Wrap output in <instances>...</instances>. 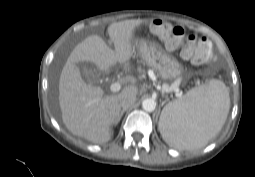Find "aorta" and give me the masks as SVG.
Segmentation results:
<instances>
[{"mask_svg": "<svg viewBox=\"0 0 255 177\" xmlns=\"http://www.w3.org/2000/svg\"><path fill=\"white\" fill-rule=\"evenodd\" d=\"M142 107L147 112H153L156 108V102L154 99H145L142 102Z\"/></svg>", "mask_w": 255, "mask_h": 177, "instance_id": "obj_1", "label": "aorta"}]
</instances>
